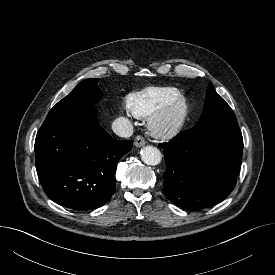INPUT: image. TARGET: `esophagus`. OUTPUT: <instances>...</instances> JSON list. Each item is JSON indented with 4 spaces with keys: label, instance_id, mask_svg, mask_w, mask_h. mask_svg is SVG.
Instances as JSON below:
<instances>
[{
    "label": "esophagus",
    "instance_id": "esophagus-1",
    "mask_svg": "<svg viewBox=\"0 0 275 275\" xmlns=\"http://www.w3.org/2000/svg\"><path fill=\"white\" fill-rule=\"evenodd\" d=\"M145 144H146V140L142 136L138 135V136L135 137V139H134V145L136 147H142Z\"/></svg>",
    "mask_w": 275,
    "mask_h": 275
}]
</instances>
